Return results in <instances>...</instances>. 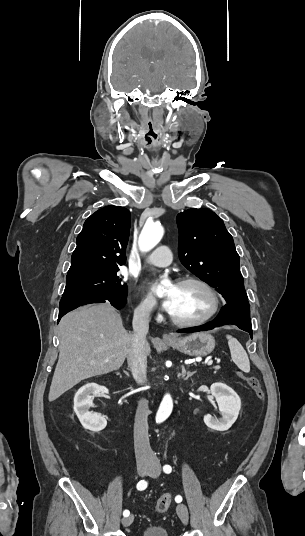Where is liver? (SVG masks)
I'll return each mask as SVG.
<instances>
[{"mask_svg": "<svg viewBox=\"0 0 305 536\" xmlns=\"http://www.w3.org/2000/svg\"><path fill=\"white\" fill-rule=\"evenodd\" d=\"M60 354L52 378L49 402L81 380L119 370L127 358L130 334L110 304H89L59 322ZM151 350L146 342V354Z\"/></svg>", "mask_w": 305, "mask_h": 536, "instance_id": "6515ba94", "label": "liver"}]
</instances>
